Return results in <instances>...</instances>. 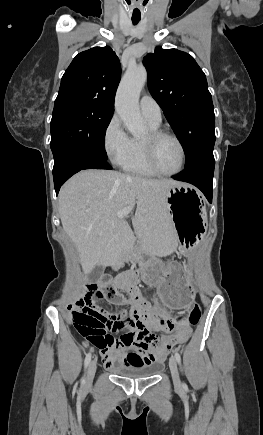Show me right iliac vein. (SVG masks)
<instances>
[{
  "instance_id": "right-iliac-vein-1",
  "label": "right iliac vein",
  "mask_w": 263,
  "mask_h": 435,
  "mask_svg": "<svg viewBox=\"0 0 263 435\" xmlns=\"http://www.w3.org/2000/svg\"><path fill=\"white\" fill-rule=\"evenodd\" d=\"M96 368H97L96 361L93 360L89 364V367H88L87 377H86V383L87 384H91L92 383L94 375H95V372H96Z\"/></svg>"
}]
</instances>
